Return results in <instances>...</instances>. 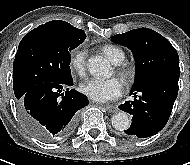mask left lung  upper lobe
Masks as SVG:
<instances>
[{
	"mask_svg": "<svg viewBox=\"0 0 190 165\" xmlns=\"http://www.w3.org/2000/svg\"><path fill=\"white\" fill-rule=\"evenodd\" d=\"M111 40L126 46L134 55L137 71L133 87L159 73L180 74L177 51L166 38L151 29H134L112 36Z\"/></svg>",
	"mask_w": 190,
	"mask_h": 165,
	"instance_id": "left-lung-upper-lobe-1",
	"label": "left lung upper lobe"
}]
</instances>
